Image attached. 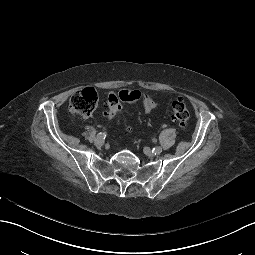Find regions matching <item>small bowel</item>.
<instances>
[{
	"mask_svg": "<svg viewBox=\"0 0 255 255\" xmlns=\"http://www.w3.org/2000/svg\"><path fill=\"white\" fill-rule=\"evenodd\" d=\"M141 100L146 112H151L158 107V102L149 94H143Z\"/></svg>",
	"mask_w": 255,
	"mask_h": 255,
	"instance_id": "c3829d8e",
	"label": "small bowel"
}]
</instances>
